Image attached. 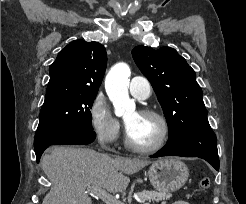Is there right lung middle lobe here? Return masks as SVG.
Masks as SVG:
<instances>
[{
    "label": "right lung middle lobe",
    "mask_w": 246,
    "mask_h": 204,
    "mask_svg": "<svg viewBox=\"0 0 246 204\" xmlns=\"http://www.w3.org/2000/svg\"><path fill=\"white\" fill-rule=\"evenodd\" d=\"M96 94H70L44 101L34 148L54 144L78 129L93 130L90 109Z\"/></svg>",
    "instance_id": "dd1d6c3e"
}]
</instances>
